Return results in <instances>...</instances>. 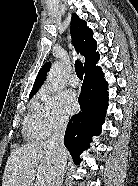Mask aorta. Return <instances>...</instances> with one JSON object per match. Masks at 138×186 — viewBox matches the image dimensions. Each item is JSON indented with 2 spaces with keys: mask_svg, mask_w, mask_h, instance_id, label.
<instances>
[{
  "mask_svg": "<svg viewBox=\"0 0 138 186\" xmlns=\"http://www.w3.org/2000/svg\"><path fill=\"white\" fill-rule=\"evenodd\" d=\"M62 71H63V64L56 61L52 64L51 69L47 75V83L48 87L52 91H57L62 86Z\"/></svg>",
  "mask_w": 138,
  "mask_h": 186,
  "instance_id": "obj_1",
  "label": "aorta"
}]
</instances>
